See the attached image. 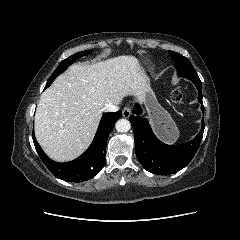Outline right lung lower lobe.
Segmentation results:
<instances>
[{
	"label": "right lung lower lobe",
	"mask_w": 240,
	"mask_h": 240,
	"mask_svg": "<svg viewBox=\"0 0 240 240\" xmlns=\"http://www.w3.org/2000/svg\"><path fill=\"white\" fill-rule=\"evenodd\" d=\"M121 114V111L104 114L92 144L80 157L73 161L58 163L49 159L37 143L33 134L32 137L36 151L43 163L55 176L70 182H83L91 179L98 174L104 166L106 142L115 122Z\"/></svg>",
	"instance_id": "right-lung-lower-lobe-1"
}]
</instances>
